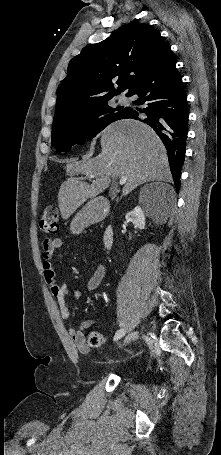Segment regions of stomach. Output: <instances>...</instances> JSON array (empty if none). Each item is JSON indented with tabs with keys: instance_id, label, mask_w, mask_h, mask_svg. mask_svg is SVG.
I'll use <instances>...</instances> for the list:
<instances>
[{
	"instance_id": "stomach-1",
	"label": "stomach",
	"mask_w": 221,
	"mask_h": 455,
	"mask_svg": "<svg viewBox=\"0 0 221 455\" xmlns=\"http://www.w3.org/2000/svg\"><path fill=\"white\" fill-rule=\"evenodd\" d=\"M100 214L98 200L88 202L82 210H80L70 223V230L74 234H79L82 230L96 221Z\"/></svg>"
}]
</instances>
